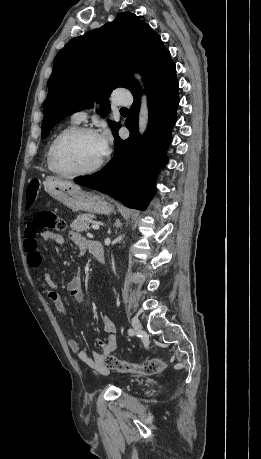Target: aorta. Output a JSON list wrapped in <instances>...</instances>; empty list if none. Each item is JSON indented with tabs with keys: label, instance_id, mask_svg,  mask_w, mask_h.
<instances>
[{
	"label": "aorta",
	"instance_id": "762f6f07",
	"mask_svg": "<svg viewBox=\"0 0 261 459\" xmlns=\"http://www.w3.org/2000/svg\"><path fill=\"white\" fill-rule=\"evenodd\" d=\"M134 76L136 79H138L141 82V76L139 74L135 73ZM147 123H148L147 100H146V96H143L141 107H140V112H139V132L141 135L145 132Z\"/></svg>",
	"mask_w": 261,
	"mask_h": 459
}]
</instances>
